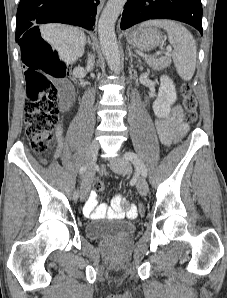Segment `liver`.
Instances as JSON below:
<instances>
[{"mask_svg":"<svg viewBox=\"0 0 227 298\" xmlns=\"http://www.w3.org/2000/svg\"><path fill=\"white\" fill-rule=\"evenodd\" d=\"M41 35L54 49L60 59L67 65L73 64L84 53L86 44L85 34L78 28L61 24L41 26Z\"/></svg>","mask_w":227,"mask_h":298,"instance_id":"6515ba94","label":"liver"}]
</instances>
